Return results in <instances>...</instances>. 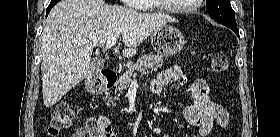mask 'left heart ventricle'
Returning <instances> with one entry per match:
<instances>
[{
  "label": "left heart ventricle",
  "mask_w": 280,
  "mask_h": 137,
  "mask_svg": "<svg viewBox=\"0 0 280 137\" xmlns=\"http://www.w3.org/2000/svg\"><path fill=\"white\" fill-rule=\"evenodd\" d=\"M168 6L172 8L188 6L193 4L194 0H165Z\"/></svg>",
  "instance_id": "b2bd125f"
}]
</instances>
